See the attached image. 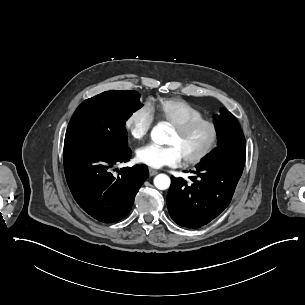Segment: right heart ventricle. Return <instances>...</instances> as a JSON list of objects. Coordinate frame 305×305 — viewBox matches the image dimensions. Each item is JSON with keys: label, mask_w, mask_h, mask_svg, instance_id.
Masks as SVG:
<instances>
[{"label": "right heart ventricle", "mask_w": 305, "mask_h": 305, "mask_svg": "<svg viewBox=\"0 0 305 305\" xmlns=\"http://www.w3.org/2000/svg\"><path fill=\"white\" fill-rule=\"evenodd\" d=\"M153 116L176 124L192 119L204 118V114L187 101L180 98H161L149 103Z\"/></svg>", "instance_id": "obj_1"}]
</instances>
